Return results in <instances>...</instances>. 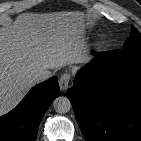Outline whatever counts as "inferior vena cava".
<instances>
[{
  "instance_id": "obj_1",
  "label": "inferior vena cava",
  "mask_w": 141,
  "mask_h": 141,
  "mask_svg": "<svg viewBox=\"0 0 141 141\" xmlns=\"http://www.w3.org/2000/svg\"><path fill=\"white\" fill-rule=\"evenodd\" d=\"M34 76L39 81L48 79L51 76V72L44 68H39L35 71Z\"/></svg>"
}]
</instances>
